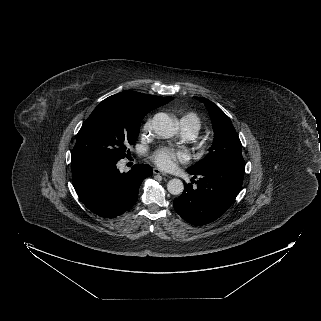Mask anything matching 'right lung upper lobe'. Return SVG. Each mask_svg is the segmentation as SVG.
I'll return each mask as SVG.
<instances>
[{"label":"right lung upper lobe","instance_id":"obj_1","mask_svg":"<svg viewBox=\"0 0 321 321\" xmlns=\"http://www.w3.org/2000/svg\"><path fill=\"white\" fill-rule=\"evenodd\" d=\"M107 100H116L128 105L134 112L149 113L157 107L167 104L173 97L146 95L135 91H124L112 95Z\"/></svg>","mask_w":321,"mask_h":321}]
</instances>
